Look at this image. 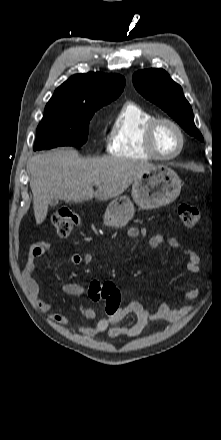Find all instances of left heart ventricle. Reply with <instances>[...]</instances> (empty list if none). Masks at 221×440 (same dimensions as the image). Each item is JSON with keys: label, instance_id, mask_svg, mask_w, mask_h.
<instances>
[{"label": "left heart ventricle", "instance_id": "obj_1", "mask_svg": "<svg viewBox=\"0 0 221 440\" xmlns=\"http://www.w3.org/2000/svg\"><path fill=\"white\" fill-rule=\"evenodd\" d=\"M154 142L159 153L170 155L178 149L180 139L177 131L171 125L162 123L156 130Z\"/></svg>", "mask_w": 221, "mask_h": 440}]
</instances>
